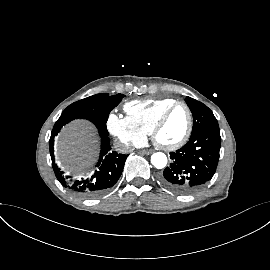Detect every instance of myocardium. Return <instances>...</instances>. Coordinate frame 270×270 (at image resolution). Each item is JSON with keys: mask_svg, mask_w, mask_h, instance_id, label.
Wrapping results in <instances>:
<instances>
[{"mask_svg": "<svg viewBox=\"0 0 270 270\" xmlns=\"http://www.w3.org/2000/svg\"><path fill=\"white\" fill-rule=\"evenodd\" d=\"M179 106L184 107L187 111L188 125H187L186 132L182 136V138L180 140H178L177 142L172 143V144H163L159 141L158 134H159L160 130L162 129V127L164 126V124L167 121L170 114L173 112V110ZM192 130H193V113H192L191 108L189 107V105L187 103H185L183 101H177V102L173 103L172 105H170L168 108H166L164 110V112L160 115V117L158 118V120L156 121V123L152 129L151 137H152V141H153L154 145L157 148L162 149L164 151H174V150L181 148L188 141V139L191 136Z\"/></svg>", "mask_w": 270, "mask_h": 270, "instance_id": "myocardium-1", "label": "myocardium"}]
</instances>
